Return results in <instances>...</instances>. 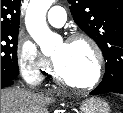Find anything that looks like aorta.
I'll return each instance as SVG.
<instances>
[{"mask_svg": "<svg viewBox=\"0 0 123 113\" xmlns=\"http://www.w3.org/2000/svg\"><path fill=\"white\" fill-rule=\"evenodd\" d=\"M53 2L54 0H30L25 16L27 31L44 55L51 54L60 40L46 23V13Z\"/></svg>", "mask_w": 123, "mask_h": 113, "instance_id": "762f6f07", "label": "aorta"}]
</instances>
